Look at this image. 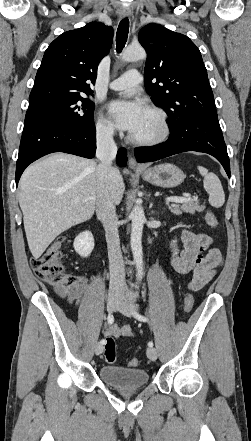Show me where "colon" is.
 <instances>
[{
    "label": "colon",
    "instance_id": "5ec220e1",
    "mask_svg": "<svg viewBox=\"0 0 251 441\" xmlns=\"http://www.w3.org/2000/svg\"><path fill=\"white\" fill-rule=\"evenodd\" d=\"M205 220L211 227H216L218 222L215 214L208 210L205 213ZM65 244V238L59 237L52 242L48 248L38 257L31 260V266L35 275L51 285L56 290L67 291L78 284L80 278L75 274L67 271L62 263V248ZM194 306V298L191 294H187L184 300V312L189 313ZM105 360L109 364L116 362V346L113 337L106 339ZM139 361L136 358L128 360L130 367H137Z\"/></svg>",
    "mask_w": 251,
    "mask_h": 441
}]
</instances>
